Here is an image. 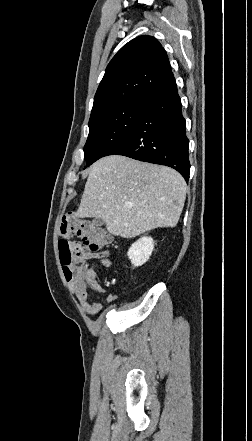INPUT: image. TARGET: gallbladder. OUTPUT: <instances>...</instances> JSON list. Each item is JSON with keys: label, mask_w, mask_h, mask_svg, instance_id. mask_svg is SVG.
<instances>
[{"label": "gallbladder", "mask_w": 252, "mask_h": 441, "mask_svg": "<svg viewBox=\"0 0 252 441\" xmlns=\"http://www.w3.org/2000/svg\"><path fill=\"white\" fill-rule=\"evenodd\" d=\"M92 223H93V225H95V226H102V225L105 223V221H104L103 218L98 217V218H95V219L92 221Z\"/></svg>", "instance_id": "gallbladder-1"}]
</instances>
